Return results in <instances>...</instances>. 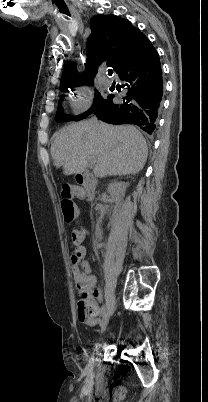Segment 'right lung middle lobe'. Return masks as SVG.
Wrapping results in <instances>:
<instances>
[{"label":"right lung middle lobe","instance_id":"dd1d6c3e","mask_svg":"<svg viewBox=\"0 0 208 402\" xmlns=\"http://www.w3.org/2000/svg\"><path fill=\"white\" fill-rule=\"evenodd\" d=\"M63 91H68V90L66 89ZM112 98H113V95H109L108 98L104 99L98 92H96L92 107L85 113L78 115V116L70 117L68 115L63 114L62 108L59 107L56 118L59 122L70 121V120L78 121V120L85 119L91 113H95L96 111L103 110L105 108L110 107Z\"/></svg>","mask_w":208,"mask_h":402}]
</instances>
